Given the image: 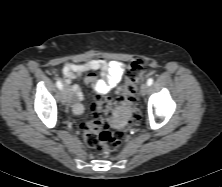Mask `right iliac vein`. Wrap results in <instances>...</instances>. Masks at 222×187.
<instances>
[{"mask_svg": "<svg viewBox=\"0 0 222 187\" xmlns=\"http://www.w3.org/2000/svg\"><path fill=\"white\" fill-rule=\"evenodd\" d=\"M60 99L62 104H66L68 101V91L66 88L62 89L60 92Z\"/></svg>", "mask_w": 222, "mask_h": 187, "instance_id": "1", "label": "right iliac vein"}]
</instances>
